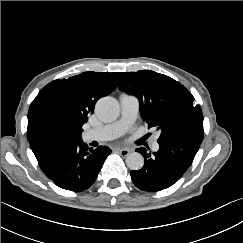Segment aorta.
Listing matches in <instances>:
<instances>
[{
	"label": "aorta",
	"instance_id": "762f6f07",
	"mask_svg": "<svg viewBox=\"0 0 243 243\" xmlns=\"http://www.w3.org/2000/svg\"><path fill=\"white\" fill-rule=\"evenodd\" d=\"M119 104L112 97L99 99L95 106L97 117L103 122H112L119 116ZM126 164L131 170H140L144 165V158L138 152H131L126 157Z\"/></svg>",
	"mask_w": 243,
	"mask_h": 243
}]
</instances>
